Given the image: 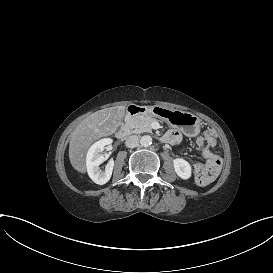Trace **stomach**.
I'll use <instances>...</instances> for the list:
<instances>
[{"mask_svg": "<svg viewBox=\"0 0 273 273\" xmlns=\"http://www.w3.org/2000/svg\"><path fill=\"white\" fill-rule=\"evenodd\" d=\"M145 115L165 121L170 127L180 130L187 137L200 133V118L190 112L169 109L160 105L145 106Z\"/></svg>", "mask_w": 273, "mask_h": 273, "instance_id": "stomach-1", "label": "stomach"}]
</instances>
